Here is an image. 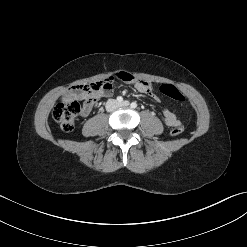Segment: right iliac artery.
Wrapping results in <instances>:
<instances>
[{
  "instance_id": "right-iliac-artery-1",
  "label": "right iliac artery",
  "mask_w": 247,
  "mask_h": 247,
  "mask_svg": "<svg viewBox=\"0 0 247 247\" xmlns=\"http://www.w3.org/2000/svg\"><path fill=\"white\" fill-rule=\"evenodd\" d=\"M117 101H118L119 103H122V102H123V98H122L121 96H118V97H117Z\"/></svg>"
}]
</instances>
